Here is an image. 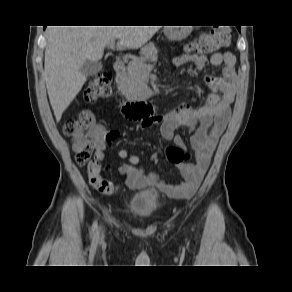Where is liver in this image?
Returning a JSON list of instances; mask_svg holds the SVG:
<instances>
[{
    "mask_svg": "<svg viewBox=\"0 0 292 292\" xmlns=\"http://www.w3.org/2000/svg\"><path fill=\"white\" fill-rule=\"evenodd\" d=\"M158 26H49L46 29L44 78L56 121L82 89L86 60L98 62L104 48L116 39L118 49H137L158 31Z\"/></svg>",
    "mask_w": 292,
    "mask_h": 292,
    "instance_id": "obj_1",
    "label": "liver"
}]
</instances>
